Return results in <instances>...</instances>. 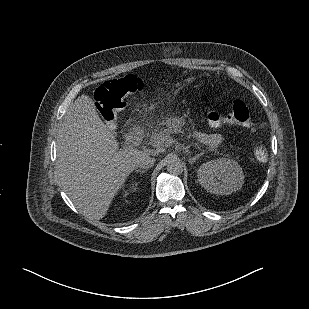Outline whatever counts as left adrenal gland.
<instances>
[{"label":"left adrenal gland","mask_w":309,"mask_h":309,"mask_svg":"<svg viewBox=\"0 0 309 309\" xmlns=\"http://www.w3.org/2000/svg\"><path fill=\"white\" fill-rule=\"evenodd\" d=\"M201 155H202V154H196L194 157L189 156V163H190L191 165H193V164L196 162V160H197L198 158H200Z\"/></svg>","instance_id":"left-adrenal-gland-1"}]
</instances>
